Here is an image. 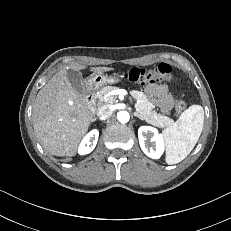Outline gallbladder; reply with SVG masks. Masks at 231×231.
Here are the masks:
<instances>
[{
	"label": "gallbladder",
	"mask_w": 231,
	"mask_h": 231,
	"mask_svg": "<svg viewBox=\"0 0 231 231\" xmlns=\"http://www.w3.org/2000/svg\"><path fill=\"white\" fill-rule=\"evenodd\" d=\"M67 78L71 83L72 87L78 92L83 93V77L82 73L72 69L67 70Z\"/></svg>",
	"instance_id": "gallbladder-1"
}]
</instances>
